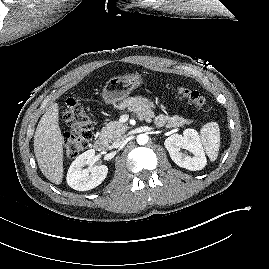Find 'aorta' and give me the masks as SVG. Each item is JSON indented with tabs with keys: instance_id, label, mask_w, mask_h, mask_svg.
<instances>
[{
	"instance_id": "762f6f07",
	"label": "aorta",
	"mask_w": 269,
	"mask_h": 269,
	"mask_svg": "<svg viewBox=\"0 0 269 269\" xmlns=\"http://www.w3.org/2000/svg\"><path fill=\"white\" fill-rule=\"evenodd\" d=\"M148 142V136L146 134H140L137 136V143L139 145H145Z\"/></svg>"
}]
</instances>
